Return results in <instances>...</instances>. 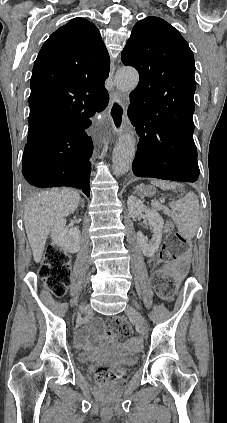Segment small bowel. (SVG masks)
Returning a JSON list of instances; mask_svg holds the SVG:
<instances>
[{
	"instance_id": "obj_1",
	"label": "small bowel",
	"mask_w": 227,
	"mask_h": 423,
	"mask_svg": "<svg viewBox=\"0 0 227 423\" xmlns=\"http://www.w3.org/2000/svg\"><path fill=\"white\" fill-rule=\"evenodd\" d=\"M150 262H151V264L155 265L156 259L152 258ZM170 268H171V270H173L177 274L185 273L186 270H187L186 257L182 258L177 263L170 265ZM98 323H99V321H96V324H98ZM89 333H90L89 327H84L77 332L76 338H75V343L78 347L83 348V347H86L88 345ZM134 343H137V341H134Z\"/></svg>"
}]
</instances>
